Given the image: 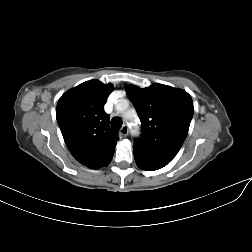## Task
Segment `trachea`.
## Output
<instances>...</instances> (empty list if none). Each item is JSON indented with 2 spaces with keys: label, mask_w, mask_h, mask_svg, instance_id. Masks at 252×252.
Masks as SVG:
<instances>
[{
  "label": "trachea",
  "mask_w": 252,
  "mask_h": 252,
  "mask_svg": "<svg viewBox=\"0 0 252 252\" xmlns=\"http://www.w3.org/2000/svg\"><path fill=\"white\" fill-rule=\"evenodd\" d=\"M111 126L120 129L122 127V119L120 117H113L111 120Z\"/></svg>",
  "instance_id": "1"
}]
</instances>
